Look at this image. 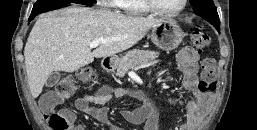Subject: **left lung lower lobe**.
I'll use <instances>...</instances> for the list:
<instances>
[{"instance_id": "1", "label": "left lung lower lobe", "mask_w": 257, "mask_h": 130, "mask_svg": "<svg viewBox=\"0 0 257 130\" xmlns=\"http://www.w3.org/2000/svg\"><path fill=\"white\" fill-rule=\"evenodd\" d=\"M216 29L219 31V29H220V26H219V27H217Z\"/></svg>"}]
</instances>
